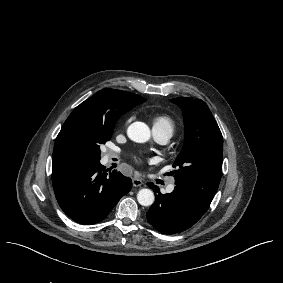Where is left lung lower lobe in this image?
Segmentation results:
<instances>
[{
    "instance_id": "left-lung-lower-lobe-1",
    "label": "left lung lower lobe",
    "mask_w": 283,
    "mask_h": 283,
    "mask_svg": "<svg viewBox=\"0 0 283 283\" xmlns=\"http://www.w3.org/2000/svg\"><path fill=\"white\" fill-rule=\"evenodd\" d=\"M147 185L158 193L147 213V221L164 234L187 230L203 216L210 205L178 187L172 193L163 195L154 183L149 182Z\"/></svg>"
}]
</instances>
